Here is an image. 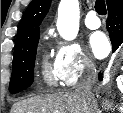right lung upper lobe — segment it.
Here are the masks:
<instances>
[{
    "instance_id": "cb5924a9",
    "label": "right lung upper lobe",
    "mask_w": 123,
    "mask_h": 113,
    "mask_svg": "<svg viewBox=\"0 0 123 113\" xmlns=\"http://www.w3.org/2000/svg\"><path fill=\"white\" fill-rule=\"evenodd\" d=\"M110 0H107L108 2ZM51 0H32L19 24L15 49L24 42L39 35V25L50 8Z\"/></svg>"
}]
</instances>
